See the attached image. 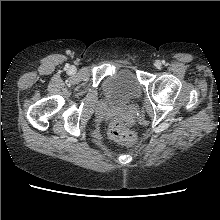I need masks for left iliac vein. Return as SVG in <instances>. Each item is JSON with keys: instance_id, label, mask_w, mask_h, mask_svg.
I'll return each instance as SVG.
<instances>
[{"instance_id": "1", "label": "left iliac vein", "mask_w": 220, "mask_h": 220, "mask_svg": "<svg viewBox=\"0 0 220 220\" xmlns=\"http://www.w3.org/2000/svg\"><path fill=\"white\" fill-rule=\"evenodd\" d=\"M155 66H156L157 68H160V67H161L160 61H156V62H155Z\"/></svg>"}]
</instances>
